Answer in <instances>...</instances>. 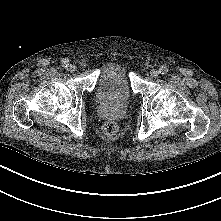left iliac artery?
Listing matches in <instances>:
<instances>
[{
	"label": "left iliac artery",
	"mask_w": 221,
	"mask_h": 221,
	"mask_svg": "<svg viewBox=\"0 0 221 221\" xmlns=\"http://www.w3.org/2000/svg\"><path fill=\"white\" fill-rule=\"evenodd\" d=\"M159 72L161 74H166L168 72V68L166 66H161Z\"/></svg>",
	"instance_id": "1"
}]
</instances>
